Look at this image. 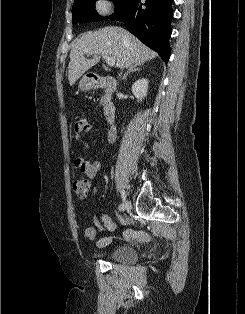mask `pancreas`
<instances>
[{
    "mask_svg": "<svg viewBox=\"0 0 245 314\" xmlns=\"http://www.w3.org/2000/svg\"><path fill=\"white\" fill-rule=\"evenodd\" d=\"M108 96L107 94H103L102 97H101V104L102 105H106L108 103Z\"/></svg>",
    "mask_w": 245,
    "mask_h": 314,
    "instance_id": "cf45deb5",
    "label": "pancreas"
}]
</instances>
